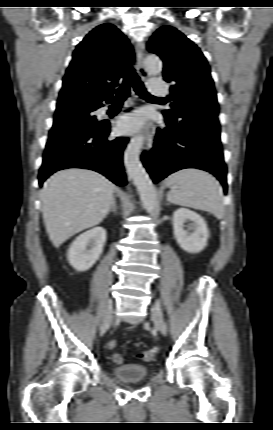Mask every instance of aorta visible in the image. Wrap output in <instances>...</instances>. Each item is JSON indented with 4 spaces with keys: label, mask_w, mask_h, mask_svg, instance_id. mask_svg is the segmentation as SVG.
<instances>
[{
    "label": "aorta",
    "mask_w": 273,
    "mask_h": 430,
    "mask_svg": "<svg viewBox=\"0 0 273 430\" xmlns=\"http://www.w3.org/2000/svg\"><path fill=\"white\" fill-rule=\"evenodd\" d=\"M145 66L151 75H158L162 72V61L157 55L147 56ZM143 140L142 135H137L130 140L124 153V163L129 177L137 187L146 211L152 214L157 206V193L139 159Z\"/></svg>",
    "instance_id": "1"
}]
</instances>
